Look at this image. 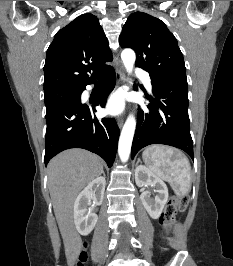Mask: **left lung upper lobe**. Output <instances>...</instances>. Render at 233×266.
I'll return each mask as SVG.
<instances>
[{
	"label": "left lung upper lobe",
	"instance_id": "left-lung-upper-lobe-1",
	"mask_svg": "<svg viewBox=\"0 0 233 266\" xmlns=\"http://www.w3.org/2000/svg\"><path fill=\"white\" fill-rule=\"evenodd\" d=\"M119 42L136 52V66L150 74L152 81L186 78L183 55L166 25L151 15L135 12L123 26Z\"/></svg>",
	"mask_w": 233,
	"mask_h": 266
}]
</instances>
